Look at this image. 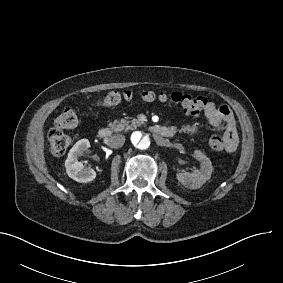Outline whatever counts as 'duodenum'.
<instances>
[{
    "mask_svg": "<svg viewBox=\"0 0 283 283\" xmlns=\"http://www.w3.org/2000/svg\"><path fill=\"white\" fill-rule=\"evenodd\" d=\"M149 131L153 135L160 136V137H170L173 135V132L169 128L163 127V126H151L149 128ZM112 134H113V131L109 127H102L98 131V136L102 139L109 138L112 136Z\"/></svg>",
    "mask_w": 283,
    "mask_h": 283,
    "instance_id": "duodenum-1",
    "label": "duodenum"
}]
</instances>
